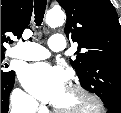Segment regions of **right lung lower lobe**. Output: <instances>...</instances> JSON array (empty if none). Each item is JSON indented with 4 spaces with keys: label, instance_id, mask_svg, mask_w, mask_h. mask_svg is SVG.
<instances>
[{
    "label": "right lung lower lobe",
    "instance_id": "right-lung-lower-lobe-1",
    "mask_svg": "<svg viewBox=\"0 0 121 113\" xmlns=\"http://www.w3.org/2000/svg\"><path fill=\"white\" fill-rule=\"evenodd\" d=\"M14 76L13 71L12 75L1 78V113H7L9 110V95L14 85Z\"/></svg>",
    "mask_w": 121,
    "mask_h": 113
}]
</instances>
